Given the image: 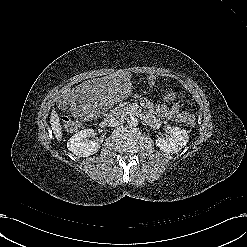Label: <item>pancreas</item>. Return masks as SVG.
I'll return each instance as SVG.
<instances>
[{
  "mask_svg": "<svg viewBox=\"0 0 247 247\" xmlns=\"http://www.w3.org/2000/svg\"><path fill=\"white\" fill-rule=\"evenodd\" d=\"M121 111L123 113H129V112H131V109L129 107H124V108H121Z\"/></svg>",
  "mask_w": 247,
  "mask_h": 247,
  "instance_id": "cf45deb5",
  "label": "pancreas"
}]
</instances>
